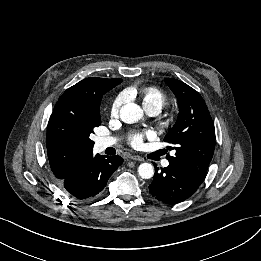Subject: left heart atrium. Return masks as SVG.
<instances>
[{"label": "left heart atrium", "instance_id": "obj_1", "mask_svg": "<svg viewBox=\"0 0 261 261\" xmlns=\"http://www.w3.org/2000/svg\"><path fill=\"white\" fill-rule=\"evenodd\" d=\"M155 133L152 130L136 131L129 135L128 142L134 148H140L144 144L145 139H153Z\"/></svg>", "mask_w": 261, "mask_h": 261}]
</instances>
